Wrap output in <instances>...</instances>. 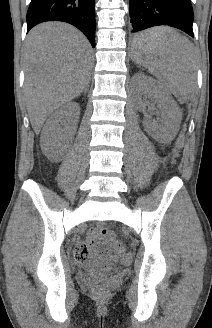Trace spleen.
<instances>
[{"mask_svg": "<svg viewBox=\"0 0 212 328\" xmlns=\"http://www.w3.org/2000/svg\"><path fill=\"white\" fill-rule=\"evenodd\" d=\"M141 45L137 52H154L159 58L149 57L143 62L139 55L137 63L155 75H162L167 88L174 95L190 94L196 86V65L193 50L187 38L167 27H157L139 33Z\"/></svg>", "mask_w": 212, "mask_h": 328, "instance_id": "obj_1", "label": "spleen"}]
</instances>
